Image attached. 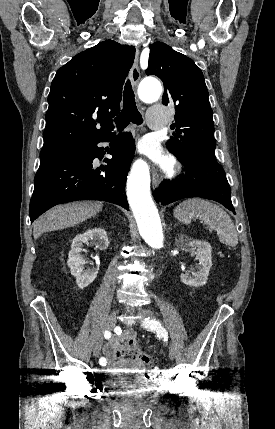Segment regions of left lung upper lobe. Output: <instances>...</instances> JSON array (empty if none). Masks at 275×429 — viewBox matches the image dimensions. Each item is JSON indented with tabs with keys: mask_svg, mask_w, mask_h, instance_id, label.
<instances>
[{
	"mask_svg": "<svg viewBox=\"0 0 275 429\" xmlns=\"http://www.w3.org/2000/svg\"><path fill=\"white\" fill-rule=\"evenodd\" d=\"M147 75H156L164 83L162 103L176 110L170 151L180 160L208 157L216 160L214 123L208 91L202 71L194 61L167 44L150 46Z\"/></svg>",
	"mask_w": 275,
	"mask_h": 429,
	"instance_id": "obj_1",
	"label": "left lung upper lobe"
}]
</instances>
